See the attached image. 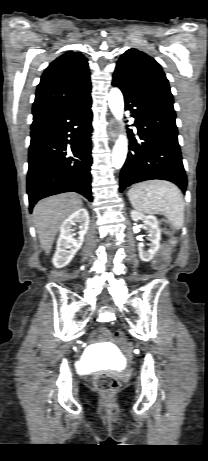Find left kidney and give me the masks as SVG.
I'll list each match as a JSON object with an SVG mask.
<instances>
[{
  "instance_id": "5707ae66",
  "label": "left kidney",
  "mask_w": 208,
  "mask_h": 461,
  "mask_svg": "<svg viewBox=\"0 0 208 461\" xmlns=\"http://www.w3.org/2000/svg\"><path fill=\"white\" fill-rule=\"evenodd\" d=\"M130 216L134 222L144 220L146 229L150 233L149 237L151 243L148 250L144 249V245L142 243L138 244L140 259L144 262H149L160 248L161 232L158 226V220L153 215H144L143 213L135 210L130 212Z\"/></svg>"
}]
</instances>
